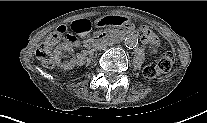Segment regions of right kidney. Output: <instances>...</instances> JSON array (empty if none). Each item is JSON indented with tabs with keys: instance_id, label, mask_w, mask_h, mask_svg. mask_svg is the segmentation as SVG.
Returning a JSON list of instances; mask_svg holds the SVG:
<instances>
[{
	"instance_id": "1",
	"label": "right kidney",
	"mask_w": 207,
	"mask_h": 123,
	"mask_svg": "<svg viewBox=\"0 0 207 123\" xmlns=\"http://www.w3.org/2000/svg\"><path fill=\"white\" fill-rule=\"evenodd\" d=\"M68 50V48L65 45H59L54 49V60L55 63L57 64L58 67L64 69V70H71L73 69V67L75 66V62L74 61H69L67 63H62L61 62V56L62 53Z\"/></svg>"
}]
</instances>
